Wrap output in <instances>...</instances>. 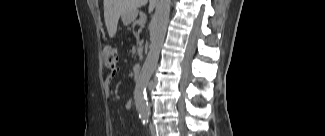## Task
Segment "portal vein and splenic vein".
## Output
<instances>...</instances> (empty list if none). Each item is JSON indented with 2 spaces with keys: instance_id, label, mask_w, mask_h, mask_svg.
<instances>
[{
  "instance_id": "obj_1",
  "label": "portal vein and splenic vein",
  "mask_w": 325,
  "mask_h": 136,
  "mask_svg": "<svg viewBox=\"0 0 325 136\" xmlns=\"http://www.w3.org/2000/svg\"><path fill=\"white\" fill-rule=\"evenodd\" d=\"M145 21H146V17H141L140 18L141 25H143L145 23Z\"/></svg>"
}]
</instances>
